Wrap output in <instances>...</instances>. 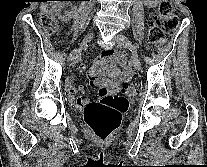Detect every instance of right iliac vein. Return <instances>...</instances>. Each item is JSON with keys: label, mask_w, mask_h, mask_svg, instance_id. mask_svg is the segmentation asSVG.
<instances>
[{"label": "right iliac vein", "mask_w": 207, "mask_h": 167, "mask_svg": "<svg viewBox=\"0 0 207 167\" xmlns=\"http://www.w3.org/2000/svg\"><path fill=\"white\" fill-rule=\"evenodd\" d=\"M93 37H94V33H90V34H88L84 37V39L82 40L79 48L76 50L75 54L73 55V57L71 59L72 66H75L78 63L81 51L93 39Z\"/></svg>", "instance_id": "obj_1"}]
</instances>
